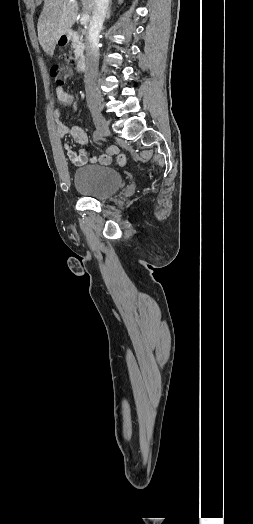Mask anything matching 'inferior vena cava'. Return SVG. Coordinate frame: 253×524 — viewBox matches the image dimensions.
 Listing matches in <instances>:
<instances>
[{
	"instance_id": "inferior-vena-cava-1",
	"label": "inferior vena cava",
	"mask_w": 253,
	"mask_h": 524,
	"mask_svg": "<svg viewBox=\"0 0 253 524\" xmlns=\"http://www.w3.org/2000/svg\"><path fill=\"white\" fill-rule=\"evenodd\" d=\"M109 0H94V9L86 36V70L84 83L89 106L96 104V81L98 75V36L103 26Z\"/></svg>"
}]
</instances>
